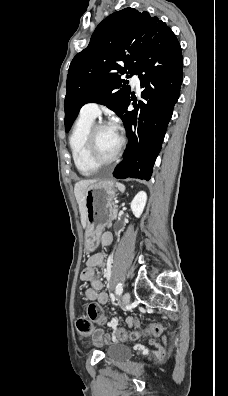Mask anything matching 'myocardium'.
Returning a JSON list of instances; mask_svg holds the SVG:
<instances>
[{
  "instance_id": "1",
  "label": "myocardium",
  "mask_w": 228,
  "mask_h": 396,
  "mask_svg": "<svg viewBox=\"0 0 228 396\" xmlns=\"http://www.w3.org/2000/svg\"><path fill=\"white\" fill-rule=\"evenodd\" d=\"M105 126H112V125L107 121L95 122L91 126V128L88 132L87 138H86L85 152H86L87 159L93 166H95L97 168L111 165L114 162H116L119 159V157L121 156L123 149H124V145H125V138L123 137V135H121L120 133L117 132L119 135V146H118L117 151L110 159L100 160L96 156V152H95V139H96V134L99 131V129H101L102 127H105Z\"/></svg>"
}]
</instances>
